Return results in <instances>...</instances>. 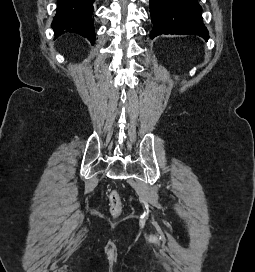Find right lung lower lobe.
Returning <instances> with one entry per match:
<instances>
[{
  "instance_id": "1",
  "label": "right lung lower lobe",
  "mask_w": 255,
  "mask_h": 272,
  "mask_svg": "<svg viewBox=\"0 0 255 272\" xmlns=\"http://www.w3.org/2000/svg\"><path fill=\"white\" fill-rule=\"evenodd\" d=\"M57 13L52 22L55 36L66 32L79 34L95 42L92 20L94 0H57Z\"/></svg>"
}]
</instances>
